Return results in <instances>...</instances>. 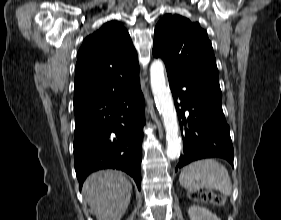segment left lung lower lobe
<instances>
[{"label":"left lung lower lobe","instance_id":"obj_1","mask_svg":"<svg viewBox=\"0 0 281 220\" xmlns=\"http://www.w3.org/2000/svg\"><path fill=\"white\" fill-rule=\"evenodd\" d=\"M183 137V154L175 169L202 158L221 157L233 165V145L222 110L221 94L196 79L168 74ZM185 87V90L181 88ZM181 106V109H179ZM189 112L188 119L184 112Z\"/></svg>","mask_w":281,"mask_h":220}]
</instances>
